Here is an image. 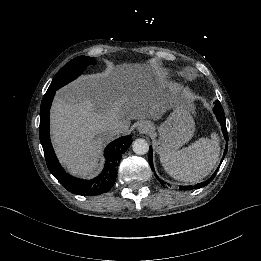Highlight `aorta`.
I'll return each mask as SVG.
<instances>
[{
    "instance_id": "762f6f07",
    "label": "aorta",
    "mask_w": 261,
    "mask_h": 261,
    "mask_svg": "<svg viewBox=\"0 0 261 261\" xmlns=\"http://www.w3.org/2000/svg\"><path fill=\"white\" fill-rule=\"evenodd\" d=\"M132 150L137 155H144L149 151V144L143 138H138L132 143Z\"/></svg>"
}]
</instances>
